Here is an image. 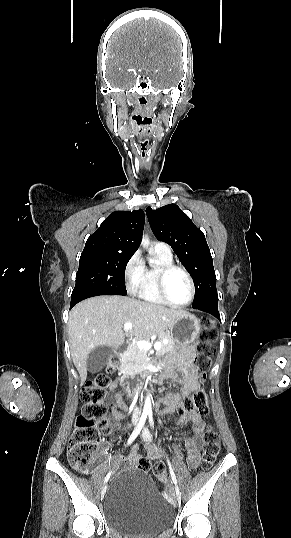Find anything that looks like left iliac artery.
Wrapping results in <instances>:
<instances>
[{"mask_svg":"<svg viewBox=\"0 0 291 538\" xmlns=\"http://www.w3.org/2000/svg\"><path fill=\"white\" fill-rule=\"evenodd\" d=\"M149 423H150L151 427L153 428L154 427V421H153L152 413H149ZM167 462H168V465H169L171 478H172L173 482L175 484H177V479H176L175 473H174V471L172 469L171 463H170V461L168 459H167Z\"/></svg>","mask_w":291,"mask_h":538,"instance_id":"left-iliac-artery-1","label":"left iliac artery"}]
</instances>
